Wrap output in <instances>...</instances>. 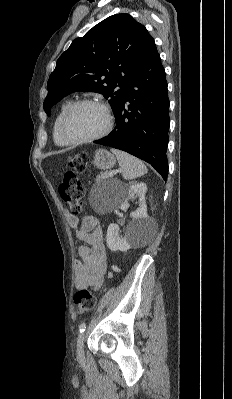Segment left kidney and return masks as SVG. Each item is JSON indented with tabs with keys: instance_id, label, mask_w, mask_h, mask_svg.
I'll return each instance as SVG.
<instances>
[{
	"instance_id": "1",
	"label": "left kidney",
	"mask_w": 232,
	"mask_h": 399,
	"mask_svg": "<svg viewBox=\"0 0 232 399\" xmlns=\"http://www.w3.org/2000/svg\"><path fill=\"white\" fill-rule=\"evenodd\" d=\"M146 192L147 186L143 182H130L129 186L122 188L121 209H127L129 207L128 200H133L136 196L139 198V207L135 211H132V221H130L123 237L119 235V225L117 223H110L106 237L107 245L112 251H116V249L127 251L130 247H134V245H138V243L147 239L151 219L147 213Z\"/></svg>"
}]
</instances>
